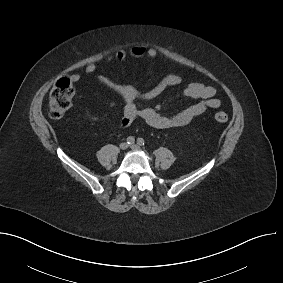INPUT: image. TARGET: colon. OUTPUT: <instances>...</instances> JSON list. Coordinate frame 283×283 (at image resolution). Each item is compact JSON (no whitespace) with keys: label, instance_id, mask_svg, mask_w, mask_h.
<instances>
[{"label":"colon","instance_id":"obj_1","mask_svg":"<svg viewBox=\"0 0 283 283\" xmlns=\"http://www.w3.org/2000/svg\"><path fill=\"white\" fill-rule=\"evenodd\" d=\"M75 95V88L69 78L59 79L52 87L49 94V115L54 119L61 118L71 107ZM227 113L219 111L215 114L216 121L225 123L228 121Z\"/></svg>","mask_w":283,"mask_h":283}]
</instances>
